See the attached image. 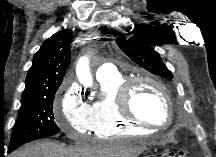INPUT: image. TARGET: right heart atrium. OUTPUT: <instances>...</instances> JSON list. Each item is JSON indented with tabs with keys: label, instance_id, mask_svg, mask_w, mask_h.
I'll list each match as a JSON object with an SVG mask.
<instances>
[{
	"label": "right heart atrium",
	"instance_id": "obj_1",
	"mask_svg": "<svg viewBox=\"0 0 216 157\" xmlns=\"http://www.w3.org/2000/svg\"><path fill=\"white\" fill-rule=\"evenodd\" d=\"M60 92V107L56 115L58 126L71 137L88 134L92 130L91 111L80 90L67 80Z\"/></svg>",
	"mask_w": 216,
	"mask_h": 157
}]
</instances>
